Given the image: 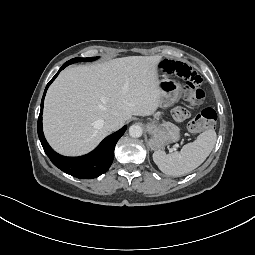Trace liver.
<instances>
[{"label": "liver", "instance_id": "liver-1", "mask_svg": "<svg viewBox=\"0 0 255 255\" xmlns=\"http://www.w3.org/2000/svg\"><path fill=\"white\" fill-rule=\"evenodd\" d=\"M155 56H129L63 70L50 86L43 113L49 144L76 156L95 148L107 135L105 121L149 116L160 106L161 89Z\"/></svg>", "mask_w": 255, "mask_h": 255}]
</instances>
